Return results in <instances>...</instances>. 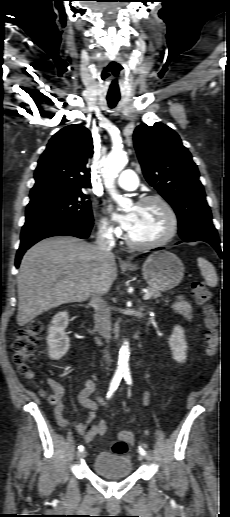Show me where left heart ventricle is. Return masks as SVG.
<instances>
[{
    "label": "left heart ventricle",
    "instance_id": "left-heart-ventricle-1",
    "mask_svg": "<svg viewBox=\"0 0 230 517\" xmlns=\"http://www.w3.org/2000/svg\"><path fill=\"white\" fill-rule=\"evenodd\" d=\"M135 221L128 234L137 242H151L164 235L168 228V218L163 208L156 202L136 206Z\"/></svg>",
    "mask_w": 230,
    "mask_h": 517
}]
</instances>
